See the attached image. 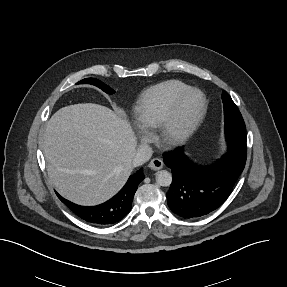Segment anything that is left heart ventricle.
<instances>
[{
    "instance_id": "b2bd125f",
    "label": "left heart ventricle",
    "mask_w": 287,
    "mask_h": 287,
    "mask_svg": "<svg viewBox=\"0 0 287 287\" xmlns=\"http://www.w3.org/2000/svg\"><path fill=\"white\" fill-rule=\"evenodd\" d=\"M195 99L196 98L194 96H189L185 99V101L183 102L180 108L178 117L175 121V127H179L189 118L194 107Z\"/></svg>"
}]
</instances>
